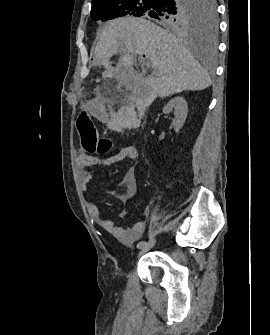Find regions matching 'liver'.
I'll use <instances>...</instances> for the list:
<instances>
[{"mask_svg": "<svg viewBox=\"0 0 270 335\" xmlns=\"http://www.w3.org/2000/svg\"><path fill=\"white\" fill-rule=\"evenodd\" d=\"M114 54H121L116 66H109ZM135 54H143L154 68V76L139 80L148 98H166L183 90H205L211 78L179 38L145 18H117L102 30L95 48V62L114 74L131 70ZM124 68V70H122Z\"/></svg>", "mask_w": 270, "mask_h": 335, "instance_id": "1", "label": "liver"}]
</instances>
